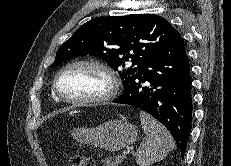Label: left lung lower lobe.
<instances>
[{"instance_id": "left-lung-lower-lobe-1", "label": "left lung lower lobe", "mask_w": 231, "mask_h": 166, "mask_svg": "<svg viewBox=\"0 0 231 166\" xmlns=\"http://www.w3.org/2000/svg\"><path fill=\"white\" fill-rule=\"evenodd\" d=\"M115 103L132 105L159 120L184 157L192 120L190 64L178 31L133 76Z\"/></svg>"}]
</instances>
